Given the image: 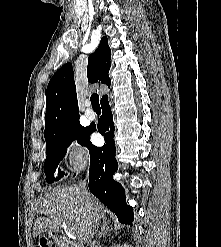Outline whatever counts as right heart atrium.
<instances>
[{"label":"right heart atrium","mask_w":221,"mask_h":247,"mask_svg":"<svg viewBox=\"0 0 221 247\" xmlns=\"http://www.w3.org/2000/svg\"><path fill=\"white\" fill-rule=\"evenodd\" d=\"M88 151L75 139L70 140L64 150L63 161L74 171L81 170L87 163Z\"/></svg>","instance_id":"1"}]
</instances>
